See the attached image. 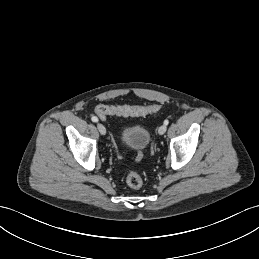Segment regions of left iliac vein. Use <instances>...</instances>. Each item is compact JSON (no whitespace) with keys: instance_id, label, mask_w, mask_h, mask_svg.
I'll return each mask as SVG.
<instances>
[{"instance_id":"4c4485c4","label":"left iliac vein","mask_w":259,"mask_h":259,"mask_svg":"<svg viewBox=\"0 0 259 259\" xmlns=\"http://www.w3.org/2000/svg\"><path fill=\"white\" fill-rule=\"evenodd\" d=\"M166 130H167V126H166V125H161V126L159 127V129H158V133H159L160 135H163V134L166 132Z\"/></svg>"}]
</instances>
